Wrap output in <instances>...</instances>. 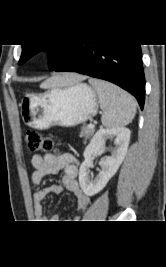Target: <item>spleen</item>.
<instances>
[{
	"label": "spleen",
	"mask_w": 166,
	"mask_h": 267,
	"mask_svg": "<svg viewBox=\"0 0 166 267\" xmlns=\"http://www.w3.org/2000/svg\"><path fill=\"white\" fill-rule=\"evenodd\" d=\"M89 83L99 97L100 108L103 110V126L118 128L128 125L133 120L137 103L130 94L112 83L99 79H89Z\"/></svg>",
	"instance_id": "spleen-1"
}]
</instances>
